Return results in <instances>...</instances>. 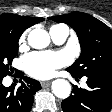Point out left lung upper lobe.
I'll return each mask as SVG.
<instances>
[{
  "label": "left lung upper lobe",
  "instance_id": "1",
  "mask_svg": "<svg viewBox=\"0 0 112 112\" xmlns=\"http://www.w3.org/2000/svg\"><path fill=\"white\" fill-rule=\"evenodd\" d=\"M49 19L68 24L78 35L81 55L67 68L68 71L78 77L112 72V30L107 25L81 12L53 16Z\"/></svg>",
  "mask_w": 112,
  "mask_h": 112
}]
</instances>
